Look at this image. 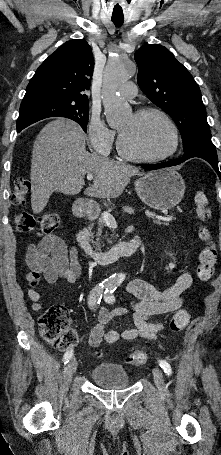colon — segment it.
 I'll list each match as a JSON object with an SVG mask.
<instances>
[{"mask_svg": "<svg viewBox=\"0 0 221 455\" xmlns=\"http://www.w3.org/2000/svg\"><path fill=\"white\" fill-rule=\"evenodd\" d=\"M30 192V181L23 177H17L11 196L12 204L16 207L23 206ZM15 222L21 232L28 233L37 230L39 234L47 235L57 228L59 216L55 213H44L36 216L28 212H17ZM201 238L205 247L200 252L196 273L200 281L206 282L214 274L217 250L205 231L201 232ZM188 321V312L178 310L171 319V329L175 332L180 331L185 328ZM38 326L41 336L57 348L66 349L77 344V335L70 325L69 313L63 305H54L47 309L41 315ZM147 360L148 356L144 351H134L127 357V363L133 366L144 365Z\"/></svg>", "mask_w": 221, "mask_h": 455, "instance_id": "1", "label": "colon"}]
</instances>
